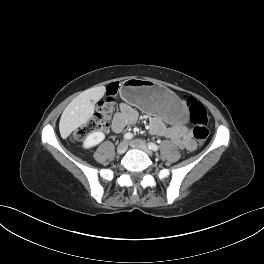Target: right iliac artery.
<instances>
[{
	"label": "right iliac artery",
	"instance_id": "82829eb1",
	"mask_svg": "<svg viewBox=\"0 0 264 264\" xmlns=\"http://www.w3.org/2000/svg\"><path fill=\"white\" fill-rule=\"evenodd\" d=\"M123 138H124L125 140H130V139L133 138V134H132V133H126V134L123 136Z\"/></svg>",
	"mask_w": 264,
	"mask_h": 264
}]
</instances>
